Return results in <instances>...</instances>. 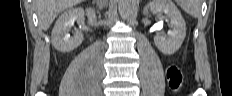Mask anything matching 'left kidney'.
I'll use <instances>...</instances> for the list:
<instances>
[{"label":"left kidney","mask_w":232,"mask_h":96,"mask_svg":"<svg viewBox=\"0 0 232 96\" xmlns=\"http://www.w3.org/2000/svg\"><path fill=\"white\" fill-rule=\"evenodd\" d=\"M148 9L158 16L166 14L171 27L169 37L157 35L154 42L163 54H174L181 47L186 36V23L181 13L171 0H153L144 8L143 13L148 14Z\"/></svg>","instance_id":"left-kidney-1"}]
</instances>
